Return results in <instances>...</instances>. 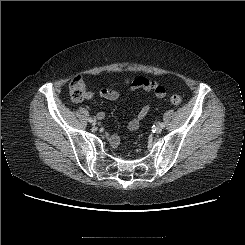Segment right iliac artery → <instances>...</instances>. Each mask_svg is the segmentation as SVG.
<instances>
[{"label": "right iliac artery", "mask_w": 245, "mask_h": 245, "mask_svg": "<svg viewBox=\"0 0 245 245\" xmlns=\"http://www.w3.org/2000/svg\"><path fill=\"white\" fill-rule=\"evenodd\" d=\"M93 118H89V122L92 120Z\"/></svg>", "instance_id": "1"}]
</instances>
